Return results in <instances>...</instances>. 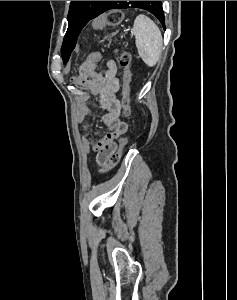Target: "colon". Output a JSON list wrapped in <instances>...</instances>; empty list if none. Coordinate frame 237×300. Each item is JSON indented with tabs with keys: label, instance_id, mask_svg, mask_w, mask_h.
I'll return each mask as SVG.
<instances>
[{
	"label": "colon",
	"instance_id": "colon-1",
	"mask_svg": "<svg viewBox=\"0 0 237 300\" xmlns=\"http://www.w3.org/2000/svg\"><path fill=\"white\" fill-rule=\"evenodd\" d=\"M124 14L119 9L109 10L99 17H97L93 21V27L97 30L102 29L104 27H117L123 22ZM101 60V56L97 53H92L87 56L84 61V64H92L96 65ZM131 55L122 51L119 56V63L124 70L123 75V89H122V106L124 110V114L126 117H129L131 114L130 106H129V95L131 90V82H132V73H131ZM129 141V136L123 137L118 144L117 149L110 155L108 159V163L101 170V174H107L112 169H114L121 158L124 147L127 145Z\"/></svg>",
	"mask_w": 237,
	"mask_h": 300
}]
</instances>
